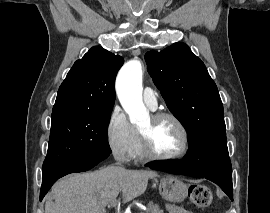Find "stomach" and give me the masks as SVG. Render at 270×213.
Returning a JSON list of instances; mask_svg holds the SVG:
<instances>
[{
    "instance_id": "obj_1",
    "label": "stomach",
    "mask_w": 270,
    "mask_h": 213,
    "mask_svg": "<svg viewBox=\"0 0 270 213\" xmlns=\"http://www.w3.org/2000/svg\"><path fill=\"white\" fill-rule=\"evenodd\" d=\"M160 195L170 202H181L188 193V186L179 178L167 175L161 178L159 183Z\"/></svg>"
}]
</instances>
